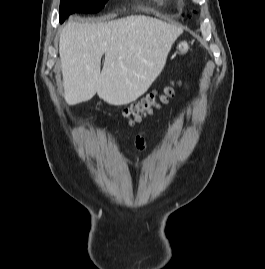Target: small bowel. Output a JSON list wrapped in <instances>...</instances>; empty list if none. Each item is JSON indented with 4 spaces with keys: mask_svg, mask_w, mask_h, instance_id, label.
I'll return each instance as SVG.
<instances>
[{
    "mask_svg": "<svg viewBox=\"0 0 265 269\" xmlns=\"http://www.w3.org/2000/svg\"><path fill=\"white\" fill-rule=\"evenodd\" d=\"M146 131L139 133L136 138H135V145L136 147L143 152H147L149 150L147 143H146V139H145V135H146Z\"/></svg>",
    "mask_w": 265,
    "mask_h": 269,
    "instance_id": "obj_1",
    "label": "small bowel"
}]
</instances>
